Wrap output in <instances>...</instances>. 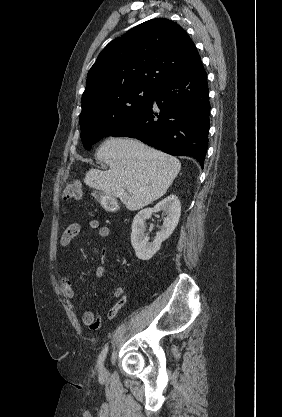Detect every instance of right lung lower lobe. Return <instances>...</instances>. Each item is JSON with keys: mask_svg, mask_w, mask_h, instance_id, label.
Instances as JSON below:
<instances>
[{"mask_svg": "<svg viewBox=\"0 0 282 417\" xmlns=\"http://www.w3.org/2000/svg\"><path fill=\"white\" fill-rule=\"evenodd\" d=\"M202 63L161 84L151 101L113 137L136 138L175 156H192L200 165L208 146L210 104Z\"/></svg>", "mask_w": 282, "mask_h": 417, "instance_id": "right-lung-lower-lobe-1", "label": "right lung lower lobe"}]
</instances>
